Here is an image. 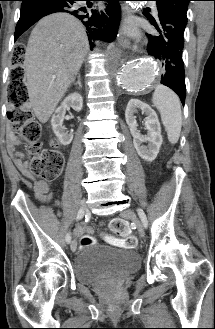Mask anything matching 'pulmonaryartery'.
Returning <instances> with one entry per match:
<instances>
[{
	"mask_svg": "<svg viewBox=\"0 0 215 329\" xmlns=\"http://www.w3.org/2000/svg\"><path fill=\"white\" fill-rule=\"evenodd\" d=\"M152 9H153V12H154L155 14H157V8H156L155 5L152 6Z\"/></svg>",
	"mask_w": 215,
	"mask_h": 329,
	"instance_id": "1",
	"label": "pulmonary artery"
}]
</instances>
